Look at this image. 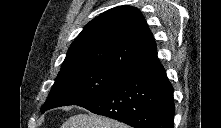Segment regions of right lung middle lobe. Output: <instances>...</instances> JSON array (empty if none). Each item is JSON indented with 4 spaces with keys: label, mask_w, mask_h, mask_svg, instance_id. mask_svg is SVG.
Returning a JSON list of instances; mask_svg holds the SVG:
<instances>
[{
    "label": "right lung middle lobe",
    "mask_w": 221,
    "mask_h": 128,
    "mask_svg": "<svg viewBox=\"0 0 221 128\" xmlns=\"http://www.w3.org/2000/svg\"><path fill=\"white\" fill-rule=\"evenodd\" d=\"M124 76L95 67L60 71L41 112L90 99L109 89Z\"/></svg>",
    "instance_id": "dd1d6c3e"
}]
</instances>
